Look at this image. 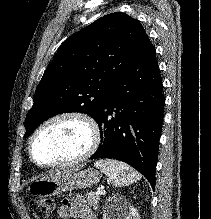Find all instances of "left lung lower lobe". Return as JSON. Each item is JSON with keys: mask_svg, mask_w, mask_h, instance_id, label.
I'll list each match as a JSON object with an SVG mask.
<instances>
[{"mask_svg": "<svg viewBox=\"0 0 211 219\" xmlns=\"http://www.w3.org/2000/svg\"><path fill=\"white\" fill-rule=\"evenodd\" d=\"M164 103L155 49L148 40L104 98L95 119L101 144L90 159L126 162L154 189Z\"/></svg>", "mask_w": 211, "mask_h": 219, "instance_id": "1", "label": "left lung lower lobe"}]
</instances>
